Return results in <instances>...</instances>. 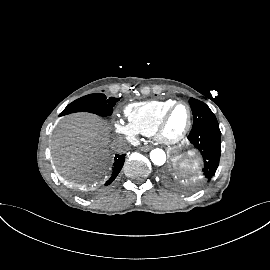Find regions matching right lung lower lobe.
Segmentation results:
<instances>
[{"label":"right lung lower lobe","mask_w":270,"mask_h":270,"mask_svg":"<svg viewBox=\"0 0 270 270\" xmlns=\"http://www.w3.org/2000/svg\"><path fill=\"white\" fill-rule=\"evenodd\" d=\"M124 157L125 155H115V163H114V168L112 171V175L110 177V179L105 183V186L110 185L113 180L117 177V175L119 174L120 170L122 169V166L124 164Z\"/></svg>","instance_id":"98d812e1"}]
</instances>
